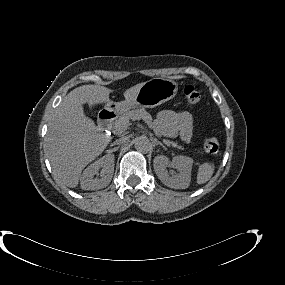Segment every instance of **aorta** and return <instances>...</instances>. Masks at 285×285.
<instances>
[{
    "mask_svg": "<svg viewBox=\"0 0 285 285\" xmlns=\"http://www.w3.org/2000/svg\"><path fill=\"white\" fill-rule=\"evenodd\" d=\"M135 149L142 153H147L151 149V142L146 136H140L135 139Z\"/></svg>",
    "mask_w": 285,
    "mask_h": 285,
    "instance_id": "1",
    "label": "aorta"
}]
</instances>
